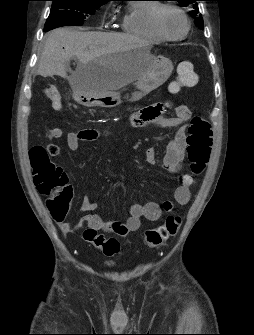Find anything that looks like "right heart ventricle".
I'll return each instance as SVG.
<instances>
[{
  "label": "right heart ventricle",
  "mask_w": 254,
  "mask_h": 335,
  "mask_svg": "<svg viewBox=\"0 0 254 335\" xmlns=\"http://www.w3.org/2000/svg\"><path fill=\"white\" fill-rule=\"evenodd\" d=\"M130 3L121 19V28L127 34L143 40L158 43L161 39L153 30L151 18L158 3Z\"/></svg>",
  "instance_id": "1"
}]
</instances>
